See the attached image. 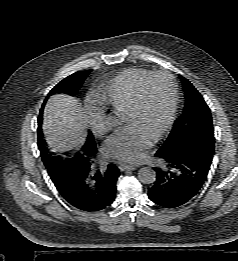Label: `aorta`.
Returning <instances> with one entry per match:
<instances>
[{"label":"aorta","instance_id":"aorta-1","mask_svg":"<svg viewBox=\"0 0 238 261\" xmlns=\"http://www.w3.org/2000/svg\"><path fill=\"white\" fill-rule=\"evenodd\" d=\"M109 124L112 126H119L120 120L117 117H110ZM138 179L143 184H151L156 179V172L150 167H142L138 171Z\"/></svg>","mask_w":238,"mask_h":261}]
</instances>
